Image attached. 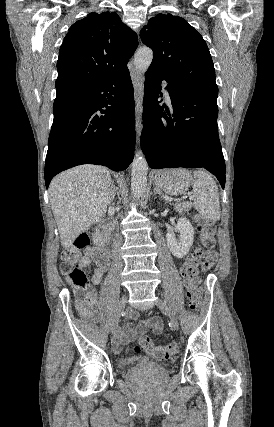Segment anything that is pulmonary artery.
Returning <instances> with one entry per match:
<instances>
[{"mask_svg":"<svg viewBox=\"0 0 274 427\" xmlns=\"http://www.w3.org/2000/svg\"><path fill=\"white\" fill-rule=\"evenodd\" d=\"M163 92H164L166 101L168 103H170L171 102V97H170L168 89L166 88V85L163 86Z\"/></svg>","mask_w":274,"mask_h":427,"instance_id":"obj_1","label":"pulmonary artery"}]
</instances>
